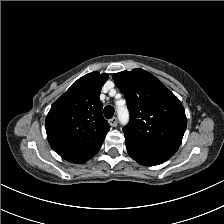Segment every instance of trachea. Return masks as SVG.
<instances>
[{"label":"trachea","mask_w":224,"mask_h":224,"mask_svg":"<svg viewBox=\"0 0 224 224\" xmlns=\"http://www.w3.org/2000/svg\"><path fill=\"white\" fill-rule=\"evenodd\" d=\"M114 111H115L114 108L110 105L106 106L103 110L104 115L107 119L112 118V116L114 115Z\"/></svg>","instance_id":"trachea-1"}]
</instances>
